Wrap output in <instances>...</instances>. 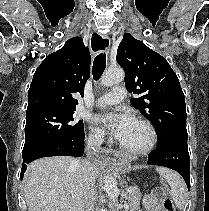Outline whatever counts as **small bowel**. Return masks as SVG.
Segmentation results:
<instances>
[{
	"label": "small bowel",
	"mask_w": 209,
	"mask_h": 211,
	"mask_svg": "<svg viewBox=\"0 0 209 211\" xmlns=\"http://www.w3.org/2000/svg\"><path fill=\"white\" fill-rule=\"evenodd\" d=\"M165 199V191L158 188L144 198L145 211H163L162 204Z\"/></svg>",
	"instance_id": "1"
}]
</instances>
